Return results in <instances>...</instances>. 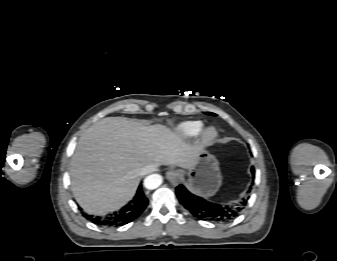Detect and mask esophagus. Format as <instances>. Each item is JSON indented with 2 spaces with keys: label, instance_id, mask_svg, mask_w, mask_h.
<instances>
[{
  "label": "esophagus",
  "instance_id": "34e87169",
  "mask_svg": "<svg viewBox=\"0 0 337 261\" xmlns=\"http://www.w3.org/2000/svg\"><path fill=\"white\" fill-rule=\"evenodd\" d=\"M166 177L170 183L177 185L181 180V173L178 170H169L166 173Z\"/></svg>",
  "mask_w": 337,
  "mask_h": 261
}]
</instances>
